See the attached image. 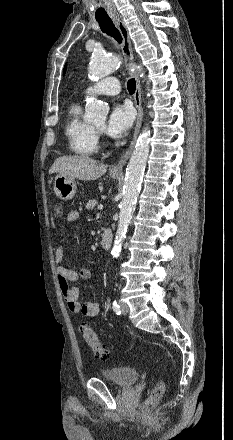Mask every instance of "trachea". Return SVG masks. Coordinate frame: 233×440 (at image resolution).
<instances>
[{"label":"trachea","instance_id":"1","mask_svg":"<svg viewBox=\"0 0 233 440\" xmlns=\"http://www.w3.org/2000/svg\"><path fill=\"white\" fill-rule=\"evenodd\" d=\"M97 21L103 33L113 37L118 43L122 42V36L110 18L97 19ZM127 89L131 94L135 92L136 81L134 78L128 81Z\"/></svg>","mask_w":233,"mask_h":440}]
</instances>
